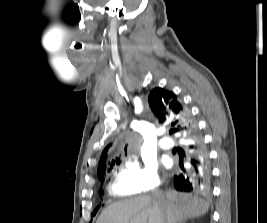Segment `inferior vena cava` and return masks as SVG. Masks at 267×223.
Here are the masks:
<instances>
[{"label": "inferior vena cava", "instance_id": "inferior-vena-cava-1", "mask_svg": "<svg viewBox=\"0 0 267 223\" xmlns=\"http://www.w3.org/2000/svg\"><path fill=\"white\" fill-rule=\"evenodd\" d=\"M155 197L158 198V199H160V197H161V193H160V192H156V193H155Z\"/></svg>", "mask_w": 267, "mask_h": 223}]
</instances>
